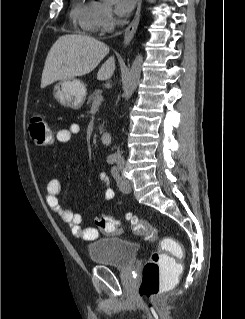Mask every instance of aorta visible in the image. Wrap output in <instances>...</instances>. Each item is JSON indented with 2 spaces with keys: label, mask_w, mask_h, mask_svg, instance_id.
Masks as SVG:
<instances>
[{
  "label": "aorta",
  "mask_w": 245,
  "mask_h": 319,
  "mask_svg": "<svg viewBox=\"0 0 245 319\" xmlns=\"http://www.w3.org/2000/svg\"><path fill=\"white\" fill-rule=\"evenodd\" d=\"M149 3H154L155 0H147ZM143 64V57L141 54H138L129 70V74L127 77L126 90H125V98L129 99L132 94L135 92L141 76V69Z\"/></svg>",
  "instance_id": "1"
}]
</instances>
